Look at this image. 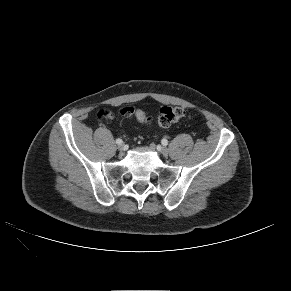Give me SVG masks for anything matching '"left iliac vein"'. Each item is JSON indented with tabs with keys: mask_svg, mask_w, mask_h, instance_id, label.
Listing matches in <instances>:
<instances>
[{
	"mask_svg": "<svg viewBox=\"0 0 291 291\" xmlns=\"http://www.w3.org/2000/svg\"><path fill=\"white\" fill-rule=\"evenodd\" d=\"M151 148L154 149L155 146H154V145H151ZM159 151H160V153H161L163 156H167V155H168V149L165 148V147H161V148L159 149Z\"/></svg>",
	"mask_w": 291,
	"mask_h": 291,
	"instance_id": "left-iliac-vein-1",
	"label": "left iliac vein"
}]
</instances>
